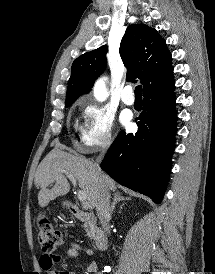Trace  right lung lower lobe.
I'll use <instances>...</instances> for the list:
<instances>
[{
    "instance_id": "obj_1",
    "label": "right lung lower lobe",
    "mask_w": 215,
    "mask_h": 274,
    "mask_svg": "<svg viewBox=\"0 0 215 274\" xmlns=\"http://www.w3.org/2000/svg\"><path fill=\"white\" fill-rule=\"evenodd\" d=\"M174 83L144 95L138 131H122L101 168L123 186L160 203L171 170L176 128Z\"/></svg>"
}]
</instances>
